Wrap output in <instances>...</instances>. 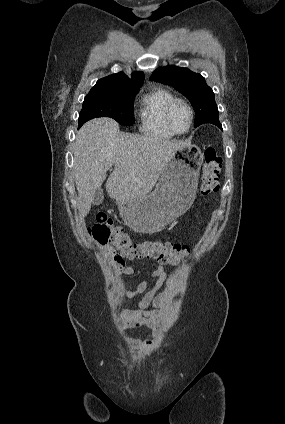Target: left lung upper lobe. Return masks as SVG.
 <instances>
[{"instance_id":"1","label":"left lung upper lobe","mask_w":285,"mask_h":424,"mask_svg":"<svg viewBox=\"0 0 285 424\" xmlns=\"http://www.w3.org/2000/svg\"><path fill=\"white\" fill-rule=\"evenodd\" d=\"M150 80L168 84L190 100L196 114L195 128L204 123L218 126L219 112L214 93L200 74L187 68L167 66L157 69Z\"/></svg>"}]
</instances>
